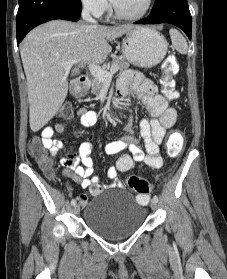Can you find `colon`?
Segmentation results:
<instances>
[{"mask_svg": "<svg viewBox=\"0 0 227 279\" xmlns=\"http://www.w3.org/2000/svg\"><path fill=\"white\" fill-rule=\"evenodd\" d=\"M179 65L175 57H169L163 64V72L160 76V84L163 95L168 99L178 98V92L176 90V83L174 75L178 72ZM62 114L65 117L71 115V107L64 105L62 107ZM184 135L179 130H173L169 133L166 143L165 151L168 157H177L184 145ZM29 155L48 173H52V160L47 156L43 141L39 139H32L28 144ZM128 187L135 191L137 194V200L141 204L148 202L150 193L152 192L151 184L144 178L136 175H130L126 179ZM92 191L97 190V186H93Z\"/></svg>", "mask_w": 227, "mask_h": 279, "instance_id": "obj_1", "label": "colon"}]
</instances>
